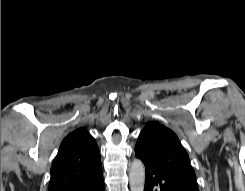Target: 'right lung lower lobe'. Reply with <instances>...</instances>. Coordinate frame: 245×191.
Masks as SVG:
<instances>
[{"label": "right lung lower lobe", "mask_w": 245, "mask_h": 191, "mask_svg": "<svg viewBox=\"0 0 245 191\" xmlns=\"http://www.w3.org/2000/svg\"><path fill=\"white\" fill-rule=\"evenodd\" d=\"M63 191H105L102 171L66 187Z\"/></svg>", "instance_id": "98d812e1"}]
</instances>
